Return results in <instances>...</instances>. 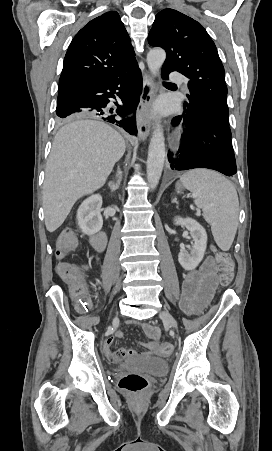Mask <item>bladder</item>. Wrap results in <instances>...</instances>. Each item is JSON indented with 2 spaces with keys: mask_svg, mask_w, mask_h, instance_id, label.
<instances>
[{
  "mask_svg": "<svg viewBox=\"0 0 272 451\" xmlns=\"http://www.w3.org/2000/svg\"><path fill=\"white\" fill-rule=\"evenodd\" d=\"M117 367L160 377L167 372L168 360L151 354H144L132 356L129 360L117 364Z\"/></svg>",
  "mask_w": 272,
  "mask_h": 451,
  "instance_id": "obj_1",
  "label": "bladder"
}]
</instances>
